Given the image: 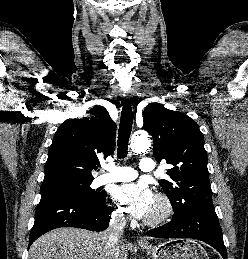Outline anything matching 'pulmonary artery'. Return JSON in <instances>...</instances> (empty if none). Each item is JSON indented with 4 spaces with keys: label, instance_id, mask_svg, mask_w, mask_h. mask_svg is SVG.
<instances>
[{
    "label": "pulmonary artery",
    "instance_id": "e3ab8cb5",
    "mask_svg": "<svg viewBox=\"0 0 248 259\" xmlns=\"http://www.w3.org/2000/svg\"><path fill=\"white\" fill-rule=\"evenodd\" d=\"M139 168L141 172L149 173L154 170V163L150 158H142ZM106 169L108 172L96 179L98 186L113 182L131 181L137 177V171L128 166H109Z\"/></svg>",
    "mask_w": 248,
    "mask_h": 259
}]
</instances>
